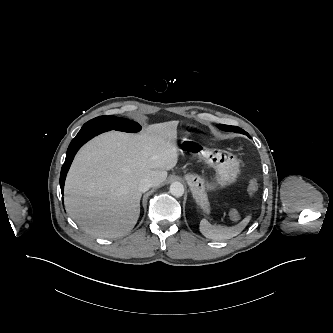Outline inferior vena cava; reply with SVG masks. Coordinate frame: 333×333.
<instances>
[{"label": "inferior vena cava", "mask_w": 333, "mask_h": 333, "mask_svg": "<svg viewBox=\"0 0 333 333\" xmlns=\"http://www.w3.org/2000/svg\"><path fill=\"white\" fill-rule=\"evenodd\" d=\"M153 186V181L150 178H144L139 182L138 189L140 192H146Z\"/></svg>", "instance_id": "1"}]
</instances>
